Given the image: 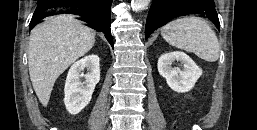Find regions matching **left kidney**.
<instances>
[{"label":"left kidney","mask_w":257,"mask_h":130,"mask_svg":"<svg viewBox=\"0 0 257 130\" xmlns=\"http://www.w3.org/2000/svg\"><path fill=\"white\" fill-rule=\"evenodd\" d=\"M175 61L183 64L182 70L172 67ZM158 71L166 79L168 86L178 93L190 91L202 75V70L184 52L163 54L158 60Z\"/></svg>","instance_id":"left-kidney-1"}]
</instances>
